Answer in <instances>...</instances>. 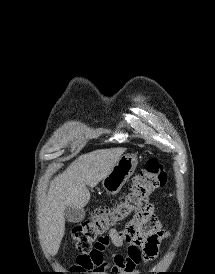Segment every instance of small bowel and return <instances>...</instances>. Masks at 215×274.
Segmentation results:
<instances>
[{
  "mask_svg": "<svg viewBox=\"0 0 215 274\" xmlns=\"http://www.w3.org/2000/svg\"><path fill=\"white\" fill-rule=\"evenodd\" d=\"M165 236L153 206L148 204L122 230L110 229L90 252L80 254L71 267V272L141 274L139 265L157 257ZM110 244L118 247L125 245L126 253L114 254L111 259H106L105 252Z\"/></svg>",
  "mask_w": 215,
  "mask_h": 274,
  "instance_id": "obj_1",
  "label": "small bowel"
}]
</instances>
